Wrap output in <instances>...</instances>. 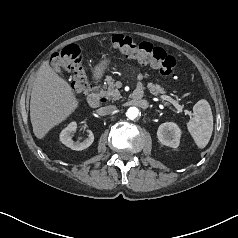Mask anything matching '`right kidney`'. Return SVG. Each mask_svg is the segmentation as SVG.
<instances>
[{
    "mask_svg": "<svg viewBox=\"0 0 238 238\" xmlns=\"http://www.w3.org/2000/svg\"><path fill=\"white\" fill-rule=\"evenodd\" d=\"M77 129L76 122H71L65 129L60 133V141L72 150L81 151L88 148L94 141V134L91 130H86L88 137L83 141H73L72 133Z\"/></svg>",
    "mask_w": 238,
    "mask_h": 238,
    "instance_id": "1",
    "label": "right kidney"
}]
</instances>
